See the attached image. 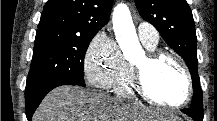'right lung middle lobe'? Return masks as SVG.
<instances>
[{"mask_svg":"<svg viewBox=\"0 0 217 121\" xmlns=\"http://www.w3.org/2000/svg\"><path fill=\"white\" fill-rule=\"evenodd\" d=\"M94 35L71 33L58 28L38 29L26 87L58 76L85 86L83 61Z\"/></svg>","mask_w":217,"mask_h":121,"instance_id":"1","label":"right lung middle lobe"}]
</instances>
